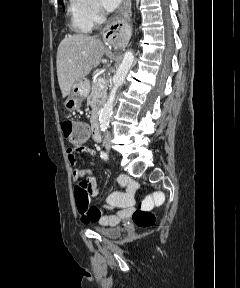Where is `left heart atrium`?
Returning <instances> with one entry per match:
<instances>
[{
  "label": "left heart atrium",
  "instance_id": "obj_1",
  "mask_svg": "<svg viewBox=\"0 0 240 288\" xmlns=\"http://www.w3.org/2000/svg\"><path fill=\"white\" fill-rule=\"evenodd\" d=\"M121 1L122 0H101L103 6L109 11L115 9Z\"/></svg>",
  "mask_w": 240,
  "mask_h": 288
}]
</instances>
